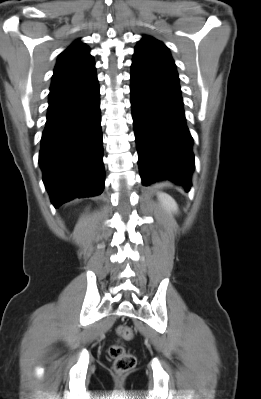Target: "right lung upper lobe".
Returning <instances> with one entry per match:
<instances>
[{"label":"right lung upper lobe","mask_w":261,"mask_h":399,"mask_svg":"<svg viewBox=\"0 0 261 399\" xmlns=\"http://www.w3.org/2000/svg\"><path fill=\"white\" fill-rule=\"evenodd\" d=\"M89 47L76 40L57 60L50 89L62 88L81 81L95 72Z\"/></svg>","instance_id":"obj_1"}]
</instances>
